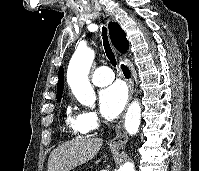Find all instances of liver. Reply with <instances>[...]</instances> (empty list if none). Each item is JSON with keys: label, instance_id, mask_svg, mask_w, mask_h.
Wrapping results in <instances>:
<instances>
[{"label": "liver", "instance_id": "6515ba94", "mask_svg": "<svg viewBox=\"0 0 199 171\" xmlns=\"http://www.w3.org/2000/svg\"><path fill=\"white\" fill-rule=\"evenodd\" d=\"M102 143L100 138H83L58 146L49 156L47 171H70L86 163L98 153Z\"/></svg>", "mask_w": 199, "mask_h": 171}]
</instances>
